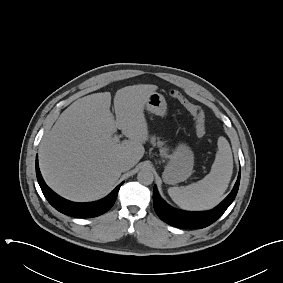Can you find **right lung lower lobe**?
<instances>
[{
  "instance_id": "obj_1",
  "label": "right lung lower lobe",
  "mask_w": 283,
  "mask_h": 283,
  "mask_svg": "<svg viewBox=\"0 0 283 283\" xmlns=\"http://www.w3.org/2000/svg\"><path fill=\"white\" fill-rule=\"evenodd\" d=\"M36 175L41 190L48 202L59 212L78 218H91L107 212L114 204L121 183L114 191L102 200L90 203H75L68 201L54 193L44 182L36 158Z\"/></svg>"
}]
</instances>
